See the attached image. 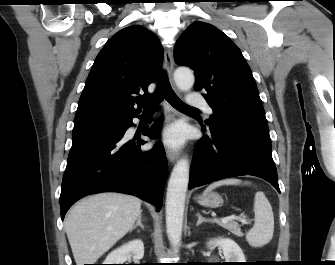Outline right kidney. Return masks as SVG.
Listing matches in <instances>:
<instances>
[{
	"label": "right kidney",
	"instance_id": "obj_1",
	"mask_svg": "<svg viewBox=\"0 0 335 265\" xmlns=\"http://www.w3.org/2000/svg\"><path fill=\"white\" fill-rule=\"evenodd\" d=\"M144 256V244L142 240H132L113 250L105 259L104 264H124L128 257L139 261Z\"/></svg>",
	"mask_w": 335,
	"mask_h": 265
}]
</instances>
